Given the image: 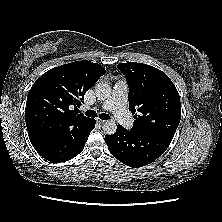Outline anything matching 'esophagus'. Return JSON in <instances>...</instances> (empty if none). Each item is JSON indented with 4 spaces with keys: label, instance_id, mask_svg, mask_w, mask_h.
<instances>
[{
    "label": "esophagus",
    "instance_id": "obj_1",
    "mask_svg": "<svg viewBox=\"0 0 222 222\" xmlns=\"http://www.w3.org/2000/svg\"><path fill=\"white\" fill-rule=\"evenodd\" d=\"M105 122H106V121L101 120V119H98V120H97V123H99V124H101V125H103Z\"/></svg>",
    "mask_w": 222,
    "mask_h": 222
}]
</instances>
